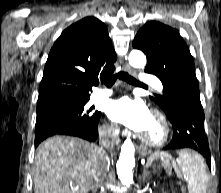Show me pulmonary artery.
<instances>
[{
    "mask_svg": "<svg viewBox=\"0 0 221 193\" xmlns=\"http://www.w3.org/2000/svg\"><path fill=\"white\" fill-rule=\"evenodd\" d=\"M140 81L144 84L152 86L156 90L162 91L163 89V85L160 79L153 75L143 73L140 75ZM112 92V89H98L93 94L92 99L94 101L106 99L112 94Z\"/></svg>",
    "mask_w": 221,
    "mask_h": 193,
    "instance_id": "obj_1",
    "label": "pulmonary artery"
}]
</instances>
